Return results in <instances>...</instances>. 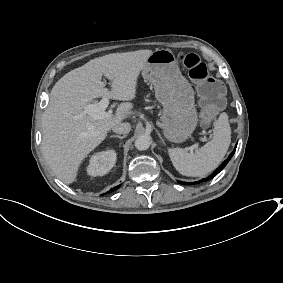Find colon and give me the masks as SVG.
<instances>
[{"mask_svg": "<svg viewBox=\"0 0 283 283\" xmlns=\"http://www.w3.org/2000/svg\"><path fill=\"white\" fill-rule=\"evenodd\" d=\"M180 61L195 82L201 101V119L212 122L224 106V88L210 73L206 64L194 53L180 56Z\"/></svg>", "mask_w": 283, "mask_h": 283, "instance_id": "1", "label": "colon"}]
</instances>
